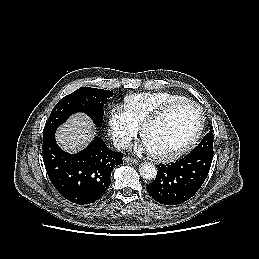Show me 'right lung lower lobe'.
Here are the masks:
<instances>
[{
	"label": "right lung lower lobe",
	"instance_id": "1",
	"mask_svg": "<svg viewBox=\"0 0 259 259\" xmlns=\"http://www.w3.org/2000/svg\"><path fill=\"white\" fill-rule=\"evenodd\" d=\"M43 161L57 191L76 204L100 199L111 182V171L123 163V154L115 152L96 137L77 154L64 152L55 141V132L43 137Z\"/></svg>",
	"mask_w": 259,
	"mask_h": 259
}]
</instances>
